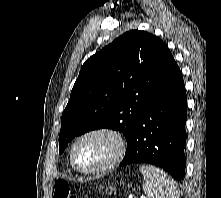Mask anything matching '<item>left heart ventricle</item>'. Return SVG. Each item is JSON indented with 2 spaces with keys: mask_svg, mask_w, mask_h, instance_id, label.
I'll use <instances>...</instances> for the list:
<instances>
[{
  "mask_svg": "<svg viewBox=\"0 0 221 198\" xmlns=\"http://www.w3.org/2000/svg\"><path fill=\"white\" fill-rule=\"evenodd\" d=\"M114 152L113 141L106 136H92L83 139L75 149L77 165L93 169L104 164Z\"/></svg>",
  "mask_w": 221,
  "mask_h": 198,
  "instance_id": "1",
  "label": "left heart ventricle"
}]
</instances>
